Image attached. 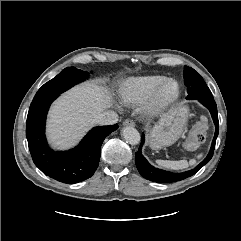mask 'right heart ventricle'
<instances>
[{
	"label": "right heart ventricle",
	"instance_id": "1",
	"mask_svg": "<svg viewBox=\"0 0 241 241\" xmlns=\"http://www.w3.org/2000/svg\"><path fill=\"white\" fill-rule=\"evenodd\" d=\"M165 79L162 75H146L124 81L118 89L119 100L124 105L144 103L157 85Z\"/></svg>",
	"mask_w": 241,
	"mask_h": 241
}]
</instances>
